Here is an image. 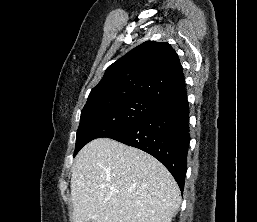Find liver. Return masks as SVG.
Masks as SVG:
<instances>
[{
	"label": "liver",
	"instance_id": "6515ba94",
	"mask_svg": "<svg viewBox=\"0 0 257 222\" xmlns=\"http://www.w3.org/2000/svg\"><path fill=\"white\" fill-rule=\"evenodd\" d=\"M70 187L73 222H171L181 204L179 187L164 165L109 138L80 150Z\"/></svg>",
	"mask_w": 257,
	"mask_h": 222
}]
</instances>
